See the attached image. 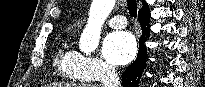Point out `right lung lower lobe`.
I'll list each match as a JSON object with an SVG mask.
<instances>
[{
	"label": "right lung lower lobe",
	"instance_id": "98d812e1",
	"mask_svg": "<svg viewBox=\"0 0 205 87\" xmlns=\"http://www.w3.org/2000/svg\"><path fill=\"white\" fill-rule=\"evenodd\" d=\"M149 19V8L145 4L138 12V20L142 27V36L139 40V53L136 60L123 73V87H137L141 74L146 67L147 50L145 48V41L150 35Z\"/></svg>",
	"mask_w": 205,
	"mask_h": 87
}]
</instances>
